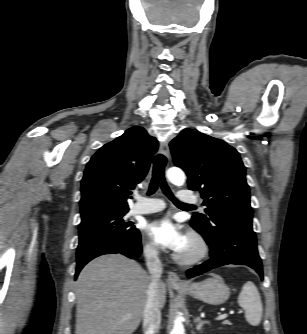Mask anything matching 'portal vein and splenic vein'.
<instances>
[{"mask_svg": "<svg viewBox=\"0 0 307 334\" xmlns=\"http://www.w3.org/2000/svg\"><path fill=\"white\" fill-rule=\"evenodd\" d=\"M127 316H130V314H127ZM227 317V314H222L216 318V320H223Z\"/></svg>", "mask_w": 307, "mask_h": 334, "instance_id": "18ae733b", "label": "portal vein and splenic vein"}]
</instances>
